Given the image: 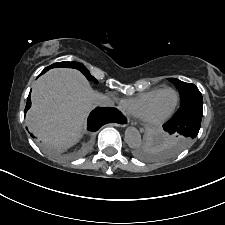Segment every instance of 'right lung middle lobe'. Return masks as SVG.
<instances>
[{
	"label": "right lung middle lobe",
	"mask_w": 225,
	"mask_h": 225,
	"mask_svg": "<svg viewBox=\"0 0 225 225\" xmlns=\"http://www.w3.org/2000/svg\"><path fill=\"white\" fill-rule=\"evenodd\" d=\"M56 67H67V68H76L78 70H80L88 80L93 81L95 83H97V80L91 76V74L89 73V71L86 69V67H84L82 64L78 63V62H58V63H54L51 66H49L48 68H56Z\"/></svg>",
	"instance_id": "dd1d6c3e"
}]
</instances>
